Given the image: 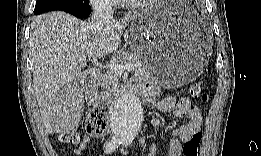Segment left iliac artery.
<instances>
[{
  "label": "left iliac artery",
  "mask_w": 261,
  "mask_h": 156,
  "mask_svg": "<svg viewBox=\"0 0 261 156\" xmlns=\"http://www.w3.org/2000/svg\"><path fill=\"white\" fill-rule=\"evenodd\" d=\"M124 144L127 145V144H128V141H127V140H124Z\"/></svg>",
  "instance_id": "1"
}]
</instances>
